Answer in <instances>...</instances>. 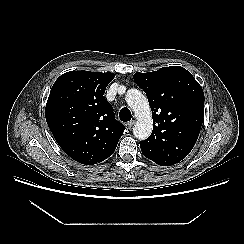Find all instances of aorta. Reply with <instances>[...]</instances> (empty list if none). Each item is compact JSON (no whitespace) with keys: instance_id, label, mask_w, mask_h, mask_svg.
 Instances as JSON below:
<instances>
[{"instance_id":"aorta-1","label":"aorta","mask_w":244,"mask_h":244,"mask_svg":"<svg viewBox=\"0 0 244 244\" xmlns=\"http://www.w3.org/2000/svg\"><path fill=\"white\" fill-rule=\"evenodd\" d=\"M126 102L137 118L133 128L134 136L139 140L148 138L153 129V120L146 96L137 89H130L126 93Z\"/></svg>"}]
</instances>
